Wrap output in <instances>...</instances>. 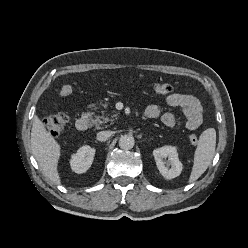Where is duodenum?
I'll return each mask as SVG.
<instances>
[{"instance_id": "1", "label": "duodenum", "mask_w": 248, "mask_h": 248, "mask_svg": "<svg viewBox=\"0 0 248 248\" xmlns=\"http://www.w3.org/2000/svg\"><path fill=\"white\" fill-rule=\"evenodd\" d=\"M93 121V118L91 115L89 114H84L82 115L76 123L77 129L79 131H86L89 129V127L91 126V123Z\"/></svg>"}]
</instances>
